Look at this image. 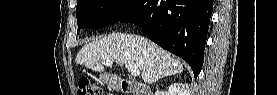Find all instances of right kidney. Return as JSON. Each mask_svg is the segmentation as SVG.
<instances>
[{
  "mask_svg": "<svg viewBox=\"0 0 277 95\" xmlns=\"http://www.w3.org/2000/svg\"><path fill=\"white\" fill-rule=\"evenodd\" d=\"M169 92L171 95H190L191 94L189 89L182 91L180 88V84L178 83L171 84L169 88Z\"/></svg>",
  "mask_w": 277,
  "mask_h": 95,
  "instance_id": "right-kidney-1",
  "label": "right kidney"
}]
</instances>
